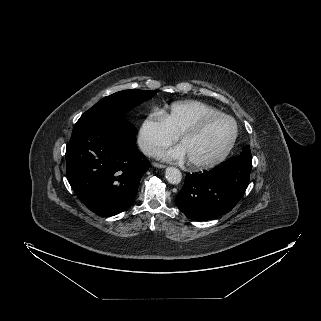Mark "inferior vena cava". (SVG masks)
<instances>
[{"mask_svg":"<svg viewBox=\"0 0 321 321\" xmlns=\"http://www.w3.org/2000/svg\"><path fill=\"white\" fill-rule=\"evenodd\" d=\"M142 151L147 154V155H153L156 151L155 147L151 146V145H143L141 147Z\"/></svg>","mask_w":321,"mask_h":321,"instance_id":"inferior-vena-cava-1","label":"inferior vena cava"}]
</instances>
